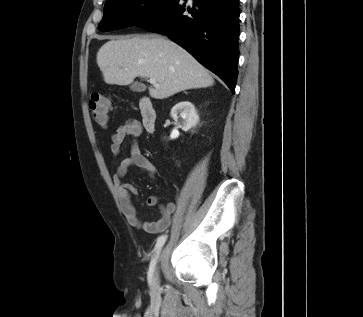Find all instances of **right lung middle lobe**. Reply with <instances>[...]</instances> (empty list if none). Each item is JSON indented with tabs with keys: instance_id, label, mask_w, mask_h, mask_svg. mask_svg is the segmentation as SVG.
<instances>
[{
	"instance_id": "right-lung-middle-lobe-1",
	"label": "right lung middle lobe",
	"mask_w": 363,
	"mask_h": 317,
	"mask_svg": "<svg viewBox=\"0 0 363 317\" xmlns=\"http://www.w3.org/2000/svg\"><path fill=\"white\" fill-rule=\"evenodd\" d=\"M176 0H106L98 25L102 32L146 22L168 10Z\"/></svg>"
}]
</instances>
